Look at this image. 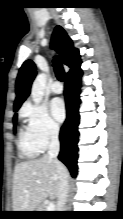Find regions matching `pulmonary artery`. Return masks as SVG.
<instances>
[{
    "label": "pulmonary artery",
    "mask_w": 123,
    "mask_h": 219,
    "mask_svg": "<svg viewBox=\"0 0 123 219\" xmlns=\"http://www.w3.org/2000/svg\"><path fill=\"white\" fill-rule=\"evenodd\" d=\"M50 90L54 94H60L63 91V87L59 82L56 81V82L51 84Z\"/></svg>",
    "instance_id": "1"
}]
</instances>
